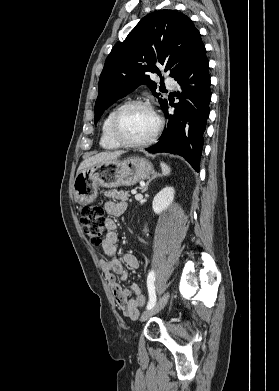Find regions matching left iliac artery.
Listing matches in <instances>:
<instances>
[{"label":"left iliac artery","instance_id":"left-iliac-artery-1","mask_svg":"<svg viewBox=\"0 0 279 391\" xmlns=\"http://www.w3.org/2000/svg\"><path fill=\"white\" fill-rule=\"evenodd\" d=\"M155 272L151 271L147 277V287L149 292V302L147 304V309H151L156 303V294L154 287Z\"/></svg>","mask_w":279,"mask_h":391}]
</instances>
